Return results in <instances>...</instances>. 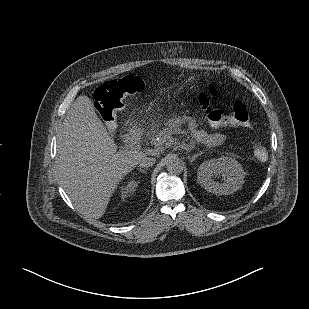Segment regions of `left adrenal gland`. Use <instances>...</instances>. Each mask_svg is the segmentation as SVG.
<instances>
[{
    "label": "left adrenal gland",
    "mask_w": 309,
    "mask_h": 309,
    "mask_svg": "<svg viewBox=\"0 0 309 309\" xmlns=\"http://www.w3.org/2000/svg\"><path fill=\"white\" fill-rule=\"evenodd\" d=\"M201 155V153H197V154H195L194 156H189L188 157V159H189V161L192 163L198 156H200Z\"/></svg>",
    "instance_id": "1"
}]
</instances>
